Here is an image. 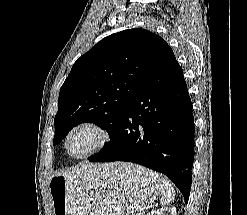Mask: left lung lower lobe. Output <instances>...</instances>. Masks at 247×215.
Segmentation results:
<instances>
[{"mask_svg": "<svg viewBox=\"0 0 247 215\" xmlns=\"http://www.w3.org/2000/svg\"><path fill=\"white\" fill-rule=\"evenodd\" d=\"M194 117L183 72L169 48L140 86L110 141L90 162L127 161L165 174L188 202Z\"/></svg>", "mask_w": 247, "mask_h": 215, "instance_id": "1", "label": "left lung lower lobe"}]
</instances>
